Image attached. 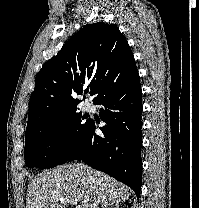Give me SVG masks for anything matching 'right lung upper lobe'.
<instances>
[{"mask_svg": "<svg viewBox=\"0 0 199 208\" xmlns=\"http://www.w3.org/2000/svg\"><path fill=\"white\" fill-rule=\"evenodd\" d=\"M137 74L130 46L116 25H85L38 72L25 134L77 110L80 100L74 97L89 88L94 102Z\"/></svg>", "mask_w": 199, "mask_h": 208, "instance_id": "cb5924a9", "label": "right lung upper lobe"}]
</instances>
